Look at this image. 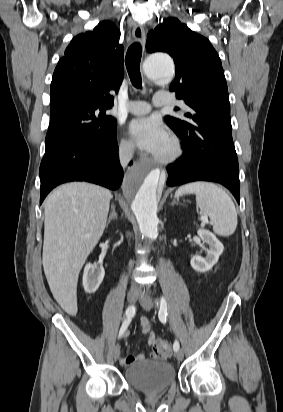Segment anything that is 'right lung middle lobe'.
<instances>
[{"label": "right lung middle lobe", "instance_id": "1", "mask_svg": "<svg viewBox=\"0 0 283 412\" xmlns=\"http://www.w3.org/2000/svg\"><path fill=\"white\" fill-rule=\"evenodd\" d=\"M108 109L96 104H74L63 114L51 115L46 148L73 137L98 140L114 133L117 121L106 113Z\"/></svg>", "mask_w": 283, "mask_h": 412}]
</instances>
